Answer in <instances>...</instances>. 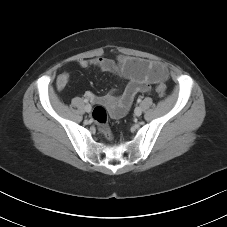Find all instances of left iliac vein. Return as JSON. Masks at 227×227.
Listing matches in <instances>:
<instances>
[{"instance_id":"1","label":"left iliac vein","mask_w":227,"mask_h":227,"mask_svg":"<svg viewBox=\"0 0 227 227\" xmlns=\"http://www.w3.org/2000/svg\"><path fill=\"white\" fill-rule=\"evenodd\" d=\"M134 114L136 116H140L142 114V109L141 107H136L135 110H134Z\"/></svg>"}]
</instances>
